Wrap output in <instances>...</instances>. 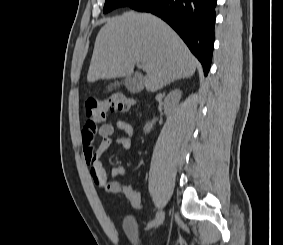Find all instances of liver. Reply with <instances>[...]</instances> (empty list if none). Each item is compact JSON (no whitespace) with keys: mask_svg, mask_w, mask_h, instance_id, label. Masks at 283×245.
I'll list each match as a JSON object with an SVG mask.
<instances>
[{"mask_svg":"<svg viewBox=\"0 0 283 245\" xmlns=\"http://www.w3.org/2000/svg\"><path fill=\"white\" fill-rule=\"evenodd\" d=\"M135 63L147 67L143 85L149 92L191 77L197 67V60L170 26L151 14L130 11L107 19L100 29L87 81L130 76Z\"/></svg>","mask_w":283,"mask_h":245,"instance_id":"1","label":"liver"}]
</instances>
